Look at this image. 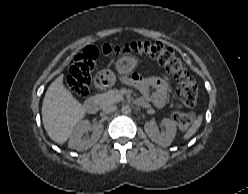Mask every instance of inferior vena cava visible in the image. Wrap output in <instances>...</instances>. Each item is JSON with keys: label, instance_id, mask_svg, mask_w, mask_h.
<instances>
[{"label": "inferior vena cava", "instance_id": "602c4592", "mask_svg": "<svg viewBox=\"0 0 248 194\" xmlns=\"http://www.w3.org/2000/svg\"><path fill=\"white\" fill-rule=\"evenodd\" d=\"M117 109V106L114 104H106L103 106L102 110L104 113L109 114L114 112Z\"/></svg>", "mask_w": 248, "mask_h": 194}]
</instances>
